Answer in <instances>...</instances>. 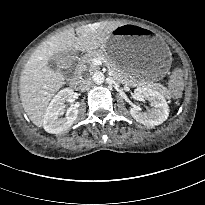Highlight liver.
<instances>
[{
	"label": "liver",
	"instance_id": "6515ba94",
	"mask_svg": "<svg viewBox=\"0 0 205 205\" xmlns=\"http://www.w3.org/2000/svg\"><path fill=\"white\" fill-rule=\"evenodd\" d=\"M119 22H98L52 36L43 42L31 55L20 76V99L22 106L36 126L41 127L49 101L65 85L59 71L48 66V61L57 53L68 51L91 52L101 48Z\"/></svg>",
	"mask_w": 205,
	"mask_h": 205
}]
</instances>
